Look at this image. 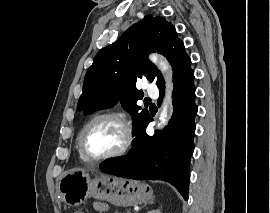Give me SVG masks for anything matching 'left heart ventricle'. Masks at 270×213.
Returning <instances> with one entry per match:
<instances>
[{
    "label": "left heart ventricle",
    "mask_w": 270,
    "mask_h": 213,
    "mask_svg": "<svg viewBox=\"0 0 270 213\" xmlns=\"http://www.w3.org/2000/svg\"><path fill=\"white\" fill-rule=\"evenodd\" d=\"M123 125L114 119H101L90 126L85 135L87 152L101 157L118 150L124 143Z\"/></svg>",
    "instance_id": "left-heart-ventricle-1"
}]
</instances>
